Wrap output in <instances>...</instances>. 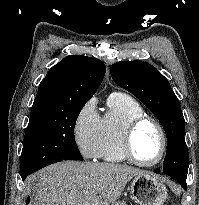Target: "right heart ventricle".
Here are the masks:
<instances>
[{
  "label": "right heart ventricle",
  "instance_id": "e07e8e85",
  "mask_svg": "<svg viewBox=\"0 0 199 205\" xmlns=\"http://www.w3.org/2000/svg\"><path fill=\"white\" fill-rule=\"evenodd\" d=\"M142 106L123 93H112L107 100V110L101 118L99 157L108 163L127 161L121 139L124 128L132 119L144 115Z\"/></svg>",
  "mask_w": 199,
  "mask_h": 205
}]
</instances>
